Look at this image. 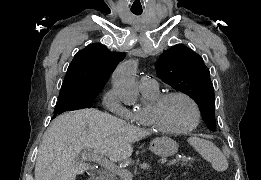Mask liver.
<instances>
[{
	"label": "liver",
	"mask_w": 261,
	"mask_h": 180,
	"mask_svg": "<svg viewBox=\"0 0 261 180\" xmlns=\"http://www.w3.org/2000/svg\"><path fill=\"white\" fill-rule=\"evenodd\" d=\"M150 134L95 108L65 112L53 120L43 136L35 180H76L88 170L85 148L107 156L111 162H123L133 154L132 144Z\"/></svg>",
	"instance_id": "6515ba94"
}]
</instances>
